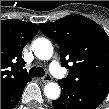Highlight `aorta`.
Instances as JSON below:
<instances>
[{"label":"aorta","mask_w":109,"mask_h":109,"mask_svg":"<svg viewBox=\"0 0 109 109\" xmlns=\"http://www.w3.org/2000/svg\"><path fill=\"white\" fill-rule=\"evenodd\" d=\"M32 50L35 56L41 60H49L53 55L51 42L46 38H37L32 43ZM60 87L57 83H47L44 87V94L51 100H56L60 96Z\"/></svg>","instance_id":"aorta-1"}]
</instances>
